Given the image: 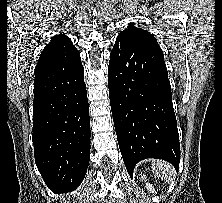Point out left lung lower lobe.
I'll return each mask as SVG.
<instances>
[{"label":"left lung lower lobe","mask_w":222,"mask_h":203,"mask_svg":"<svg viewBox=\"0 0 222 203\" xmlns=\"http://www.w3.org/2000/svg\"><path fill=\"white\" fill-rule=\"evenodd\" d=\"M108 73L114 126L130 176L146 158L166 160L177 170L179 135L161 48L142 36L117 37Z\"/></svg>","instance_id":"0a47b994"}]
</instances>
